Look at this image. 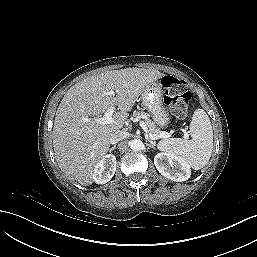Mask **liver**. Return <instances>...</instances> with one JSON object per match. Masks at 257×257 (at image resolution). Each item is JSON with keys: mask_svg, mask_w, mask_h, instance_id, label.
I'll return each instance as SVG.
<instances>
[{"mask_svg": "<svg viewBox=\"0 0 257 257\" xmlns=\"http://www.w3.org/2000/svg\"><path fill=\"white\" fill-rule=\"evenodd\" d=\"M165 74L154 69L126 68L88 77L72 86L58 106L53 147L60 169L83 186L93 183L95 165L107 154L110 137L123 127L143 90ZM114 95H108L109 91ZM118 107L110 124L98 118Z\"/></svg>", "mask_w": 257, "mask_h": 257, "instance_id": "6515ba94", "label": "liver"}]
</instances>
